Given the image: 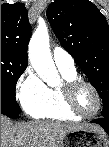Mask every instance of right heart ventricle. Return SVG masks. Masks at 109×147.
<instances>
[{"instance_id":"1","label":"right heart ventricle","mask_w":109,"mask_h":147,"mask_svg":"<svg viewBox=\"0 0 109 147\" xmlns=\"http://www.w3.org/2000/svg\"><path fill=\"white\" fill-rule=\"evenodd\" d=\"M63 79L69 80L76 77V70H61L59 69ZM49 102L40 107L26 111L30 116L37 119H51L55 121H77L80 117L74 115L66 106L64 97L60 88L49 89Z\"/></svg>"}]
</instances>
